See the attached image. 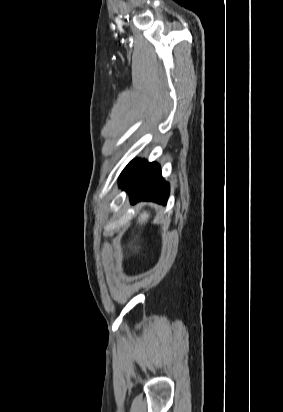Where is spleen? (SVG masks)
<instances>
[{
	"label": "spleen",
	"instance_id": "1",
	"mask_svg": "<svg viewBox=\"0 0 283 412\" xmlns=\"http://www.w3.org/2000/svg\"><path fill=\"white\" fill-rule=\"evenodd\" d=\"M148 219H149V214L147 212H143L139 215L138 222L140 224H143V223L147 222Z\"/></svg>",
	"mask_w": 283,
	"mask_h": 412
}]
</instances>
